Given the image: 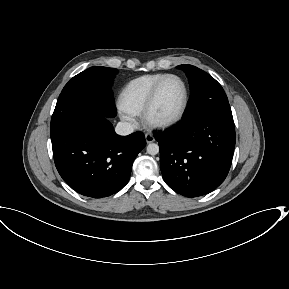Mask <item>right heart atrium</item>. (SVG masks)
<instances>
[{"instance_id": "d8ad5b80", "label": "right heart atrium", "mask_w": 289, "mask_h": 289, "mask_svg": "<svg viewBox=\"0 0 289 289\" xmlns=\"http://www.w3.org/2000/svg\"><path fill=\"white\" fill-rule=\"evenodd\" d=\"M120 115L122 117V119H124L125 121L128 122H133V119L131 117V114L125 112L124 110L120 109Z\"/></svg>"}]
</instances>
